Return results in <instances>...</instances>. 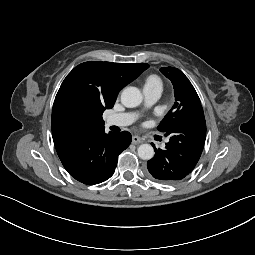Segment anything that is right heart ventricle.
Returning a JSON list of instances; mask_svg holds the SVG:
<instances>
[{"instance_id":"obj_1","label":"right heart ventricle","mask_w":255,"mask_h":255,"mask_svg":"<svg viewBox=\"0 0 255 255\" xmlns=\"http://www.w3.org/2000/svg\"><path fill=\"white\" fill-rule=\"evenodd\" d=\"M163 88V82L161 78L157 75H149L144 81V89H160Z\"/></svg>"}]
</instances>
